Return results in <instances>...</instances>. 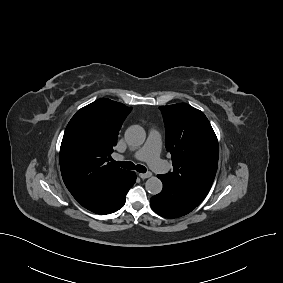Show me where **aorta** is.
I'll use <instances>...</instances> for the list:
<instances>
[{
    "label": "aorta",
    "instance_id": "aorta-1",
    "mask_svg": "<svg viewBox=\"0 0 283 283\" xmlns=\"http://www.w3.org/2000/svg\"><path fill=\"white\" fill-rule=\"evenodd\" d=\"M146 138V133L143 127L139 125L130 126L125 132V139L127 143L131 146H140L144 143ZM163 184L161 180L157 177H150L146 183V190L153 194H159L162 191Z\"/></svg>",
    "mask_w": 283,
    "mask_h": 283
}]
</instances>
